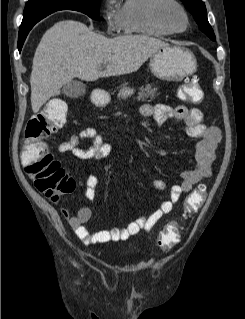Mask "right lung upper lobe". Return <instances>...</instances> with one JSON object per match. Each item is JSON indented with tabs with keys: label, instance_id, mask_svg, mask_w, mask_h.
Returning <instances> with one entry per match:
<instances>
[{
	"label": "right lung upper lobe",
	"instance_id": "right-lung-upper-lobe-1",
	"mask_svg": "<svg viewBox=\"0 0 245 319\" xmlns=\"http://www.w3.org/2000/svg\"><path fill=\"white\" fill-rule=\"evenodd\" d=\"M55 12L54 10H37L35 11L32 15H31V21L28 23L27 27L25 28H20V30L22 29H26L28 27H31L33 25H35L38 21H40L41 19H43L44 17H46L47 15L51 14Z\"/></svg>",
	"mask_w": 245,
	"mask_h": 319
}]
</instances>
